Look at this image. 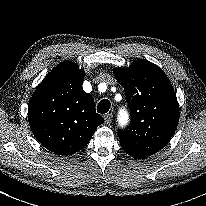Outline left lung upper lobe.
Masks as SVG:
<instances>
[{
  "instance_id": "left-lung-upper-lobe-1",
  "label": "left lung upper lobe",
  "mask_w": 206,
  "mask_h": 206,
  "mask_svg": "<svg viewBox=\"0 0 206 206\" xmlns=\"http://www.w3.org/2000/svg\"><path fill=\"white\" fill-rule=\"evenodd\" d=\"M114 75L131 111L129 127L118 131L121 147L142 158L158 152L171 139L179 120V104L168 77L145 60L115 69Z\"/></svg>"
}]
</instances>
